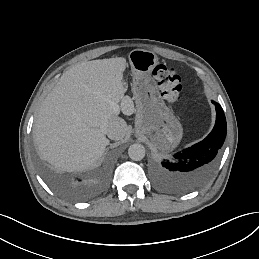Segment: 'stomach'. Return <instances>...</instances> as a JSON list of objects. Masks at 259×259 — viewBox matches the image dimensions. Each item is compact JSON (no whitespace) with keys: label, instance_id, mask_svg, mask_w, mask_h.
I'll list each match as a JSON object with an SVG mask.
<instances>
[{"label":"stomach","instance_id":"1","mask_svg":"<svg viewBox=\"0 0 259 259\" xmlns=\"http://www.w3.org/2000/svg\"><path fill=\"white\" fill-rule=\"evenodd\" d=\"M129 62L133 75H148L158 64V57L152 51L135 49L129 53Z\"/></svg>","mask_w":259,"mask_h":259}]
</instances>
